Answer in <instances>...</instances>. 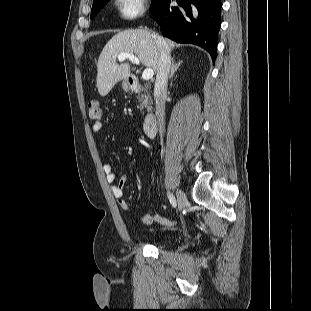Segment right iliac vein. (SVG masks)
<instances>
[{"label": "right iliac vein", "mask_w": 311, "mask_h": 311, "mask_svg": "<svg viewBox=\"0 0 311 311\" xmlns=\"http://www.w3.org/2000/svg\"><path fill=\"white\" fill-rule=\"evenodd\" d=\"M176 196H177L178 209L181 211L186 204V195L181 189H177Z\"/></svg>", "instance_id": "63e3f726"}]
</instances>
